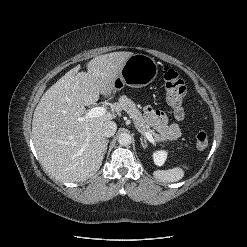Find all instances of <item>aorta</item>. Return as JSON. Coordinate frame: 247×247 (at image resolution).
<instances>
[{
  "label": "aorta",
  "instance_id": "obj_1",
  "mask_svg": "<svg viewBox=\"0 0 247 247\" xmlns=\"http://www.w3.org/2000/svg\"><path fill=\"white\" fill-rule=\"evenodd\" d=\"M132 138L129 133H121L118 137V143L121 146H128L131 144Z\"/></svg>",
  "mask_w": 247,
  "mask_h": 247
}]
</instances>
